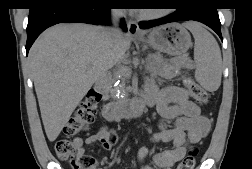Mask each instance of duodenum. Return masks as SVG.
<instances>
[{
	"label": "duodenum",
	"instance_id": "1",
	"mask_svg": "<svg viewBox=\"0 0 252 169\" xmlns=\"http://www.w3.org/2000/svg\"><path fill=\"white\" fill-rule=\"evenodd\" d=\"M95 89L101 96H107L106 85L103 81L95 84ZM153 100L148 97H142L138 100L128 101L121 104L111 103L103 109V117L108 122L120 121L126 118L140 116L146 107L152 105Z\"/></svg>",
	"mask_w": 252,
	"mask_h": 169
}]
</instances>
